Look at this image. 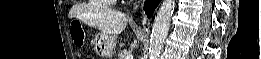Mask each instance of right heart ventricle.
<instances>
[{
	"instance_id": "e07e8e85",
	"label": "right heart ventricle",
	"mask_w": 261,
	"mask_h": 59,
	"mask_svg": "<svg viewBox=\"0 0 261 59\" xmlns=\"http://www.w3.org/2000/svg\"><path fill=\"white\" fill-rule=\"evenodd\" d=\"M98 2L100 3V5L108 6L111 5L114 2V0H99Z\"/></svg>"
}]
</instances>
